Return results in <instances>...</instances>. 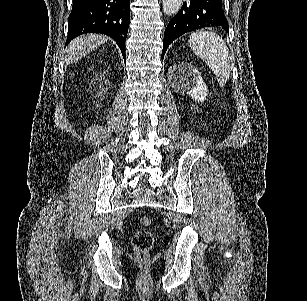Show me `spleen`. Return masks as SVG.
Segmentation results:
<instances>
[{"label":"spleen","instance_id":"spleen-1","mask_svg":"<svg viewBox=\"0 0 307 301\" xmlns=\"http://www.w3.org/2000/svg\"><path fill=\"white\" fill-rule=\"evenodd\" d=\"M191 50L214 70L220 86H225L230 74L228 46L222 36L210 30H196L188 38Z\"/></svg>","mask_w":307,"mask_h":301}]
</instances>
